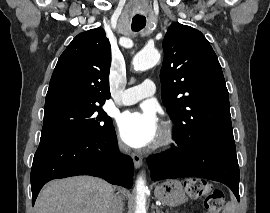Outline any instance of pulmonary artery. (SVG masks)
I'll return each instance as SVG.
<instances>
[{
  "instance_id": "1",
  "label": "pulmonary artery",
  "mask_w": 270,
  "mask_h": 213,
  "mask_svg": "<svg viewBox=\"0 0 270 213\" xmlns=\"http://www.w3.org/2000/svg\"><path fill=\"white\" fill-rule=\"evenodd\" d=\"M157 86L152 80H145L142 84L126 89L121 96V104L131 105L149 98L155 94Z\"/></svg>"
}]
</instances>
